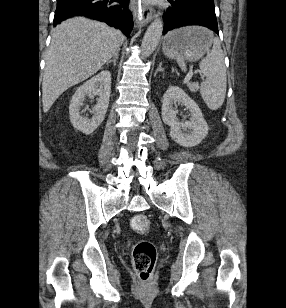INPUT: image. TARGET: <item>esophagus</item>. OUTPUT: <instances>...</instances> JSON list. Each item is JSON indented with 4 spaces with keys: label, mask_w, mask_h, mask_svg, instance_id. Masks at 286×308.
<instances>
[{
    "label": "esophagus",
    "mask_w": 286,
    "mask_h": 308,
    "mask_svg": "<svg viewBox=\"0 0 286 308\" xmlns=\"http://www.w3.org/2000/svg\"><path fill=\"white\" fill-rule=\"evenodd\" d=\"M153 9L145 0H139V8L134 9V15L142 24H147L152 19Z\"/></svg>",
    "instance_id": "obj_1"
}]
</instances>
